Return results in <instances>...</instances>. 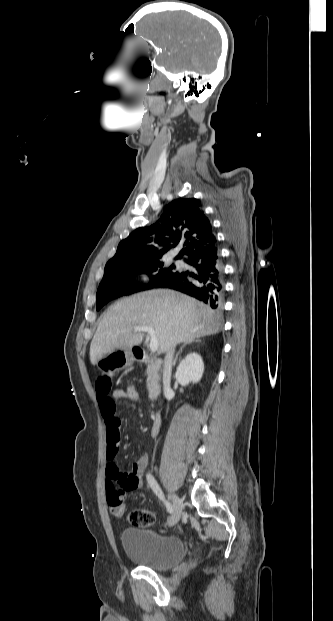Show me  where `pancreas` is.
Listing matches in <instances>:
<instances>
[{
    "label": "pancreas",
    "instance_id": "1",
    "mask_svg": "<svg viewBox=\"0 0 333 621\" xmlns=\"http://www.w3.org/2000/svg\"><path fill=\"white\" fill-rule=\"evenodd\" d=\"M147 374V389L149 392V398L153 400L157 396L159 375L158 372L153 368H150Z\"/></svg>",
    "mask_w": 333,
    "mask_h": 621
}]
</instances>
